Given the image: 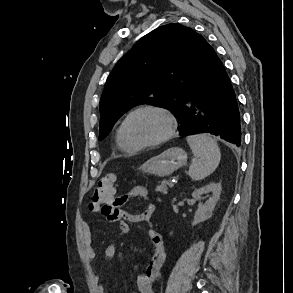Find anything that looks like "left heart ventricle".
<instances>
[{
	"label": "left heart ventricle",
	"instance_id": "1",
	"mask_svg": "<svg viewBox=\"0 0 293 293\" xmlns=\"http://www.w3.org/2000/svg\"><path fill=\"white\" fill-rule=\"evenodd\" d=\"M167 129V121L160 114L143 111L133 115L126 126V134L131 143L141 144L161 137Z\"/></svg>",
	"mask_w": 293,
	"mask_h": 293
}]
</instances>
